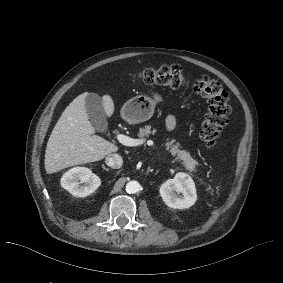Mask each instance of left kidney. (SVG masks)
Instances as JSON below:
<instances>
[{
	"label": "left kidney",
	"instance_id": "1",
	"mask_svg": "<svg viewBox=\"0 0 283 283\" xmlns=\"http://www.w3.org/2000/svg\"><path fill=\"white\" fill-rule=\"evenodd\" d=\"M160 195L165 204L173 209L189 208L197 200L193 179L182 172L177 173L173 179H169L161 185Z\"/></svg>",
	"mask_w": 283,
	"mask_h": 283
}]
</instances>
